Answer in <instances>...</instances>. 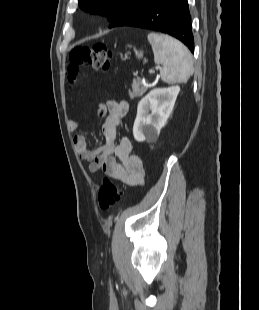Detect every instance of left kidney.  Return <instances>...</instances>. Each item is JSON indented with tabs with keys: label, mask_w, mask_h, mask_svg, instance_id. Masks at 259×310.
Here are the masks:
<instances>
[{
	"label": "left kidney",
	"mask_w": 259,
	"mask_h": 310,
	"mask_svg": "<svg viewBox=\"0 0 259 310\" xmlns=\"http://www.w3.org/2000/svg\"><path fill=\"white\" fill-rule=\"evenodd\" d=\"M179 91L178 85L156 88L139 102L133 126L136 141L143 142L158 137L174 108Z\"/></svg>",
	"instance_id": "5707ae66"
}]
</instances>
